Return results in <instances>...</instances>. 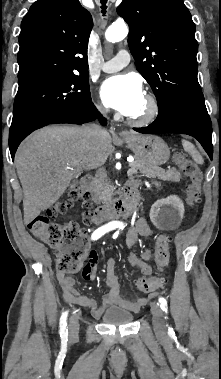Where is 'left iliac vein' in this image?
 <instances>
[{"label": "left iliac vein", "instance_id": "4c4485c4", "mask_svg": "<svg viewBox=\"0 0 221 379\" xmlns=\"http://www.w3.org/2000/svg\"><path fill=\"white\" fill-rule=\"evenodd\" d=\"M151 313L155 331L157 333H163L165 330V323L161 308L157 304H153L151 307Z\"/></svg>", "mask_w": 221, "mask_h": 379}]
</instances>
